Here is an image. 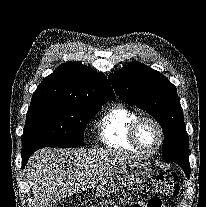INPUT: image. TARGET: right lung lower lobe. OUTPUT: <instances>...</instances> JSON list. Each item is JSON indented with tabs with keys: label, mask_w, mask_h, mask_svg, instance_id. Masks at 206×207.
Wrapping results in <instances>:
<instances>
[{
	"label": "right lung lower lobe",
	"mask_w": 206,
	"mask_h": 207,
	"mask_svg": "<svg viewBox=\"0 0 206 207\" xmlns=\"http://www.w3.org/2000/svg\"><path fill=\"white\" fill-rule=\"evenodd\" d=\"M32 153H25L22 154V168H24L27 160L29 159V157L31 156Z\"/></svg>",
	"instance_id": "98d812e1"
}]
</instances>
